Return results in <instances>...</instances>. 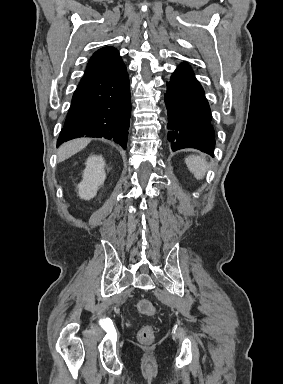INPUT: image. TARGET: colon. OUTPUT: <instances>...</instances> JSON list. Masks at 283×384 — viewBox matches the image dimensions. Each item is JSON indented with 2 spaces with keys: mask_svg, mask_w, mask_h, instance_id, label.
Returning <instances> with one entry per match:
<instances>
[{
  "mask_svg": "<svg viewBox=\"0 0 283 384\" xmlns=\"http://www.w3.org/2000/svg\"><path fill=\"white\" fill-rule=\"evenodd\" d=\"M137 308L140 313L147 316H154L156 308L153 303L148 299H140L137 302ZM154 338L153 328L150 325L142 327L138 332V339L142 343H150Z\"/></svg>",
  "mask_w": 283,
  "mask_h": 384,
  "instance_id": "colon-1",
  "label": "colon"
}]
</instances>
